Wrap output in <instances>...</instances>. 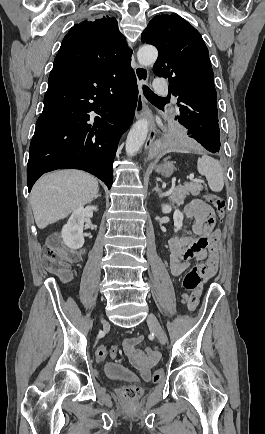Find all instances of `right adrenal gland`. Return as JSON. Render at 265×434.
I'll use <instances>...</instances> for the list:
<instances>
[{
	"label": "right adrenal gland",
	"instance_id": "2a0ac1e0",
	"mask_svg": "<svg viewBox=\"0 0 265 434\" xmlns=\"http://www.w3.org/2000/svg\"><path fill=\"white\" fill-rule=\"evenodd\" d=\"M101 194H97V196H94V200H96V198H100Z\"/></svg>",
	"mask_w": 265,
	"mask_h": 434
}]
</instances>
